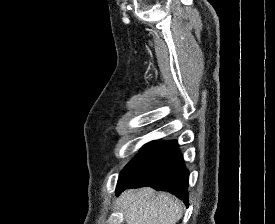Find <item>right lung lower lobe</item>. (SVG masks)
Returning a JSON list of instances; mask_svg holds the SVG:
<instances>
[{"label": "right lung lower lobe", "mask_w": 275, "mask_h": 224, "mask_svg": "<svg viewBox=\"0 0 275 224\" xmlns=\"http://www.w3.org/2000/svg\"><path fill=\"white\" fill-rule=\"evenodd\" d=\"M189 172L176 140L146 144L119 175L116 193L127 188L149 186L168 191L188 203Z\"/></svg>", "instance_id": "1"}]
</instances>
